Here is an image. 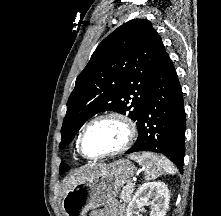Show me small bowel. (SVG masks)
Wrapping results in <instances>:
<instances>
[{
  "instance_id": "obj_1",
  "label": "small bowel",
  "mask_w": 221,
  "mask_h": 216,
  "mask_svg": "<svg viewBox=\"0 0 221 216\" xmlns=\"http://www.w3.org/2000/svg\"><path fill=\"white\" fill-rule=\"evenodd\" d=\"M94 216H97V214H94ZM110 216H124V210L122 207L118 206L116 210L110 215Z\"/></svg>"
}]
</instances>
